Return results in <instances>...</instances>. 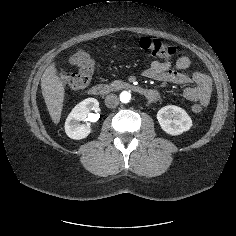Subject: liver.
Here are the masks:
<instances>
[{
	"label": "liver",
	"instance_id": "1",
	"mask_svg": "<svg viewBox=\"0 0 236 236\" xmlns=\"http://www.w3.org/2000/svg\"><path fill=\"white\" fill-rule=\"evenodd\" d=\"M41 90L52 121L58 124L63 108L64 83L56 73L55 64L49 65L41 77Z\"/></svg>",
	"mask_w": 236,
	"mask_h": 236
}]
</instances>
